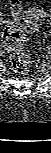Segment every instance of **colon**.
<instances>
[{"label": "colon", "mask_w": 51, "mask_h": 153, "mask_svg": "<svg viewBox=\"0 0 51 153\" xmlns=\"http://www.w3.org/2000/svg\"><path fill=\"white\" fill-rule=\"evenodd\" d=\"M11 11L14 20L7 23L2 32V41L4 48L12 55L11 66L18 74H24L28 71L30 60L24 50L26 34L35 31V23L20 16V0H11ZM40 16L39 11H31Z\"/></svg>", "instance_id": "1"}]
</instances>
